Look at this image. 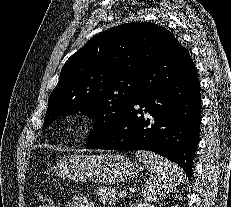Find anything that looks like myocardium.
I'll return each instance as SVG.
<instances>
[{"mask_svg": "<svg viewBox=\"0 0 231 207\" xmlns=\"http://www.w3.org/2000/svg\"><path fill=\"white\" fill-rule=\"evenodd\" d=\"M73 127L76 130H79L82 127V120L80 118H76V120L73 122Z\"/></svg>", "mask_w": 231, "mask_h": 207, "instance_id": "obj_1", "label": "myocardium"}]
</instances>
